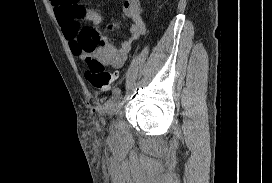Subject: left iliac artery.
Wrapping results in <instances>:
<instances>
[{
  "instance_id": "44dca946",
  "label": "left iliac artery",
  "mask_w": 272,
  "mask_h": 183,
  "mask_svg": "<svg viewBox=\"0 0 272 183\" xmlns=\"http://www.w3.org/2000/svg\"><path fill=\"white\" fill-rule=\"evenodd\" d=\"M113 94H114V97L116 98V97L120 96L121 90L120 89H115Z\"/></svg>"
}]
</instances>
